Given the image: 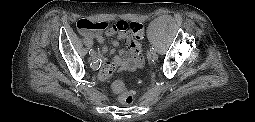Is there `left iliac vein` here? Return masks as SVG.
I'll return each mask as SVG.
<instances>
[{
  "label": "left iliac vein",
  "instance_id": "left-iliac-vein-1",
  "mask_svg": "<svg viewBox=\"0 0 255 122\" xmlns=\"http://www.w3.org/2000/svg\"><path fill=\"white\" fill-rule=\"evenodd\" d=\"M149 58L152 60V61H157L158 60V55L156 53H150L149 54Z\"/></svg>",
  "mask_w": 255,
  "mask_h": 122
}]
</instances>
